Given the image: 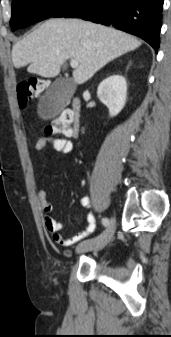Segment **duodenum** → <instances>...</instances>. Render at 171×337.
<instances>
[{
    "label": "duodenum",
    "instance_id": "1",
    "mask_svg": "<svg viewBox=\"0 0 171 337\" xmlns=\"http://www.w3.org/2000/svg\"><path fill=\"white\" fill-rule=\"evenodd\" d=\"M79 109L80 101L77 97H74L72 99V108L64 112L71 123L73 136H77L79 133Z\"/></svg>",
    "mask_w": 171,
    "mask_h": 337
}]
</instances>
